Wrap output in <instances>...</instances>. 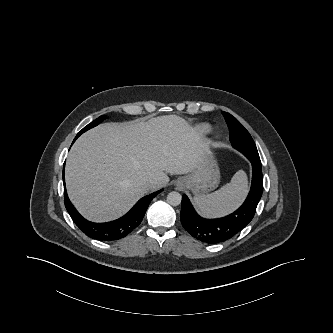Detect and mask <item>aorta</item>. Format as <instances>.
Instances as JSON below:
<instances>
[{
  "instance_id": "1",
  "label": "aorta",
  "mask_w": 333,
  "mask_h": 333,
  "mask_svg": "<svg viewBox=\"0 0 333 333\" xmlns=\"http://www.w3.org/2000/svg\"><path fill=\"white\" fill-rule=\"evenodd\" d=\"M181 200H182V196L178 192L173 191L167 195V202L171 206H178L181 203Z\"/></svg>"
}]
</instances>
